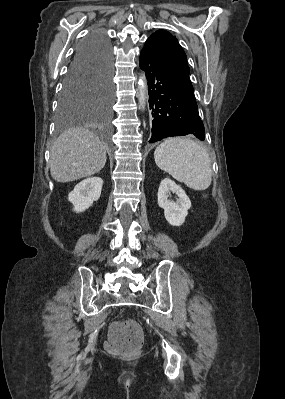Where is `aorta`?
<instances>
[{
    "instance_id": "aorta-1",
    "label": "aorta",
    "mask_w": 285,
    "mask_h": 399,
    "mask_svg": "<svg viewBox=\"0 0 285 399\" xmlns=\"http://www.w3.org/2000/svg\"><path fill=\"white\" fill-rule=\"evenodd\" d=\"M146 95H147V81L145 74L142 73L138 81V97L142 108L145 107Z\"/></svg>"
}]
</instances>
